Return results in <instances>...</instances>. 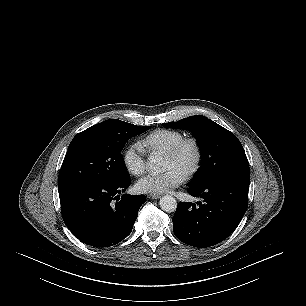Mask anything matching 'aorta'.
Here are the masks:
<instances>
[{
	"instance_id": "obj_1",
	"label": "aorta",
	"mask_w": 306,
	"mask_h": 306,
	"mask_svg": "<svg viewBox=\"0 0 306 306\" xmlns=\"http://www.w3.org/2000/svg\"><path fill=\"white\" fill-rule=\"evenodd\" d=\"M162 165V158L153 155L149 157L148 160V167L151 171H158ZM160 208L165 212H174L177 208V201L176 199L171 195H165L162 198H160L159 201Z\"/></svg>"
}]
</instances>
